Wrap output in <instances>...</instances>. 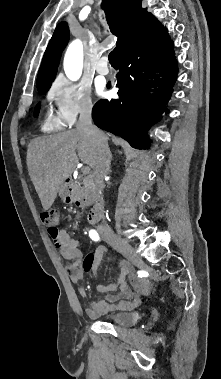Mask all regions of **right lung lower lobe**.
I'll return each instance as SVG.
<instances>
[{"label":"right lung lower lobe","instance_id":"98d812e1","mask_svg":"<svg viewBox=\"0 0 221 379\" xmlns=\"http://www.w3.org/2000/svg\"><path fill=\"white\" fill-rule=\"evenodd\" d=\"M160 29L158 24L118 55L119 98L100 100L92 109L96 126L138 149L149 148L146 132L167 112L178 73L173 42Z\"/></svg>","mask_w":221,"mask_h":379}]
</instances>
